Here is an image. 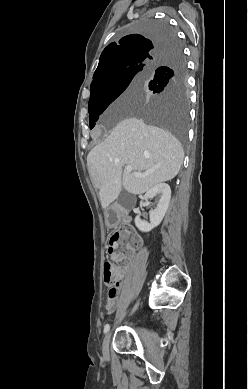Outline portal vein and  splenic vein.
<instances>
[{"instance_id": "portal-vein-and-splenic-vein-1", "label": "portal vein and splenic vein", "mask_w": 248, "mask_h": 389, "mask_svg": "<svg viewBox=\"0 0 248 389\" xmlns=\"http://www.w3.org/2000/svg\"><path fill=\"white\" fill-rule=\"evenodd\" d=\"M125 170L127 171V172H132V166H126L125 167ZM134 174V176H136V177H144L145 176V174H141V173H138V172H134L133 173Z\"/></svg>"}]
</instances>
